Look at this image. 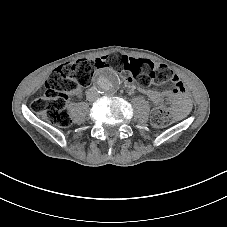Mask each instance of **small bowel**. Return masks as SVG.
<instances>
[{"label":"small bowel","instance_id":"1","mask_svg":"<svg viewBox=\"0 0 227 227\" xmlns=\"http://www.w3.org/2000/svg\"><path fill=\"white\" fill-rule=\"evenodd\" d=\"M141 91L156 105H160L164 101L163 96L155 90L142 88ZM188 109H189L188 100L186 99V97H181L180 105L178 108H176V112L178 114H185L188 112Z\"/></svg>","mask_w":227,"mask_h":227}]
</instances>
